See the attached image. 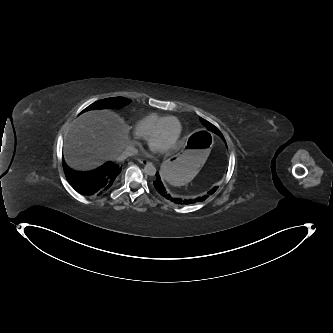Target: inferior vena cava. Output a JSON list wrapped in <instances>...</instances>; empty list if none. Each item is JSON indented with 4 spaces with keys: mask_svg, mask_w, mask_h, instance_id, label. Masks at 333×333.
<instances>
[{
    "mask_svg": "<svg viewBox=\"0 0 333 333\" xmlns=\"http://www.w3.org/2000/svg\"><path fill=\"white\" fill-rule=\"evenodd\" d=\"M138 153V150L135 147L128 146L126 147L123 152L117 156L118 161H123L129 156L136 155Z\"/></svg>",
    "mask_w": 333,
    "mask_h": 333,
    "instance_id": "obj_1",
    "label": "inferior vena cava"
}]
</instances>
